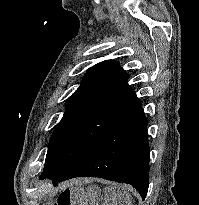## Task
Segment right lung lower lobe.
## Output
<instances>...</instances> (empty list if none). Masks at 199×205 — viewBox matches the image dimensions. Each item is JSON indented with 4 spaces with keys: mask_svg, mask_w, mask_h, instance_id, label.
<instances>
[{
    "mask_svg": "<svg viewBox=\"0 0 199 205\" xmlns=\"http://www.w3.org/2000/svg\"><path fill=\"white\" fill-rule=\"evenodd\" d=\"M141 109L122 122L100 143L74 158L52 175L54 185L70 178L91 176L132 185L144 200L149 187L150 150Z\"/></svg>",
    "mask_w": 199,
    "mask_h": 205,
    "instance_id": "right-lung-lower-lobe-1",
    "label": "right lung lower lobe"
}]
</instances>
